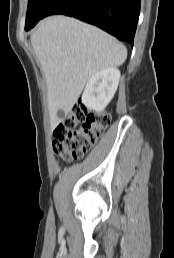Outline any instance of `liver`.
Returning a JSON list of instances; mask_svg holds the SVG:
<instances>
[{"label": "liver", "mask_w": 174, "mask_h": 258, "mask_svg": "<svg viewBox=\"0 0 174 258\" xmlns=\"http://www.w3.org/2000/svg\"><path fill=\"white\" fill-rule=\"evenodd\" d=\"M31 43L44 72L51 127L67 115L95 73L122 65L126 47L104 31L63 15L43 19Z\"/></svg>", "instance_id": "obj_1"}]
</instances>
